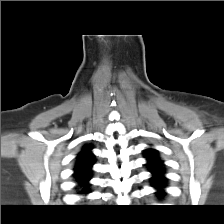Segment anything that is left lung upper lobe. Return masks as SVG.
Here are the masks:
<instances>
[{
  "label": "left lung upper lobe",
  "mask_w": 224,
  "mask_h": 224,
  "mask_svg": "<svg viewBox=\"0 0 224 224\" xmlns=\"http://www.w3.org/2000/svg\"><path fill=\"white\" fill-rule=\"evenodd\" d=\"M144 156L147 160V165L150 170H158L163 171L161 165H163L162 161L159 159L157 151L154 149H147L144 153Z\"/></svg>",
  "instance_id": "obj_1"
}]
</instances>
